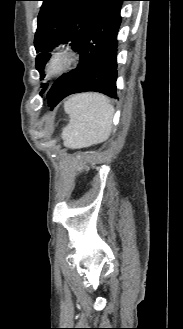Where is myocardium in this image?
<instances>
[{
  "instance_id": "obj_1",
  "label": "myocardium",
  "mask_w": 183,
  "mask_h": 329,
  "mask_svg": "<svg viewBox=\"0 0 183 329\" xmlns=\"http://www.w3.org/2000/svg\"><path fill=\"white\" fill-rule=\"evenodd\" d=\"M80 53L71 44H63L53 50L46 65L45 73L48 76H59L72 69L78 62Z\"/></svg>"
}]
</instances>
